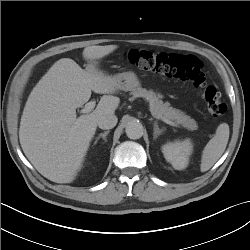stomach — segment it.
I'll use <instances>...</instances> for the list:
<instances>
[{
  "label": "stomach",
  "mask_w": 250,
  "mask_h": 250,
  "mask_svg": "<svg viewBox=\"0 0 250 250\" xmlns=\"http://www.w3.org/2000/svg\"><path fill=\"white\" fill-rule=\"evenodd\" d=\"M117 82V88L122 91H133L140 87V81L134 72H125L111 76Z\"/></svg>",
  "instance_id": "1"
}]
</instances>
